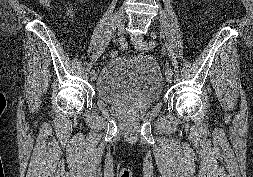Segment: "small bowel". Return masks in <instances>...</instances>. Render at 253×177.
<instances>
[{
	"mask_svg": "<svg viewBox=\"0 0 253 177\" xmlns=\"http://www.w3.org/2000/svg\"><path fill=\"white\" fill-rule=\"evenodd\" d=\"M35 1H37V2H39L40 4H42L44 7H46V8H49L50 7V4H43L41 1L42 0H35ZM65 12H66V15L69 17V18H72L73 16H74V10H73V8H71V7H69V6H67L66 8H65Z\"/></svg>",
	"mask_w": 253,
	"mask_h": 177,
	"instance_id": "1",
	"label": "small bowel"
}]
</instances>
